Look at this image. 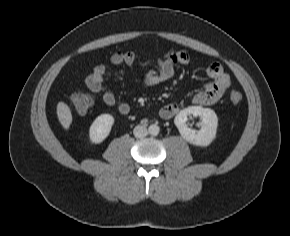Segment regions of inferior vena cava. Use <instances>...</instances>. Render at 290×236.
Listing matches in <instances>:
<instances>
[{
  "label": "inferior vena cava",
  "mask_w": 290,
  "mask_h": 236,
  "mask_svg": "<svg viewBox=\"0 0 290 236\" xmlns=\"http://www.w3.org/2000/svg\"><path fill=\"white\" fill-rule=\"evenodd\" d=\"M133 134L136 138H143L148 134V131L145 126L137 125L133 130Z\"/></svg>",
  "instance_id": "1"
}]
</instances>
